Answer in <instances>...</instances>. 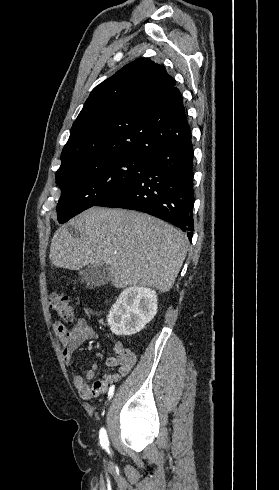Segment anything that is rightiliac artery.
Here are the masks:
<instances>
[{
  "instance_id": "right-iliac-artery-1",
  "label": "right iliac artery",
  "mask_w": 279,
  "mask_h": 490,
  "mask_svg": "<svg viewBox=\"0 0 279 490\" xmlns=\"http://www.w3.org/2000/svg\"><path fill=\"white\" fill-rule=\"evenodd\" d=\"M115 388H116L115 386L110 388L109 393H108L109 399H111V397L113 396V390ZM99 439H100L101 446L103 448L107 449L109 446V440H108L107 432L104 428H101V430H100Z\"/></svg>"
}]
</instances>
